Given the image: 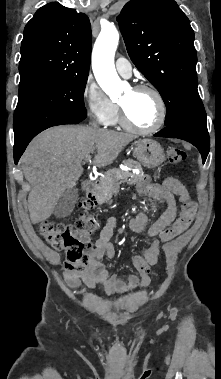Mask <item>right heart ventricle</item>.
Here are the masks:
<instances>
[{
    "instance_id": "1",
    "label": "right heart ventricle",
    "mask_w": 221,
    "mask_h": 379,
    "mask_svg": "<svg viewBox=\"0 0 221 379\" xmlns=\"http://www.w3.org/2000/svg\"><path fill=\"white\" fill-rule=\"evenodd\" d=\"M116 121V116H115V118L112 120V122L111 123H114Z\"/></svg>"
}]
</instances>
